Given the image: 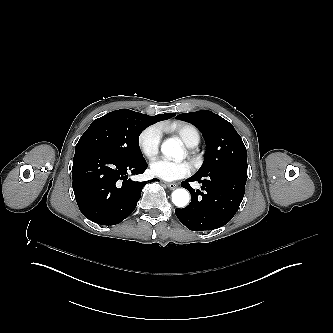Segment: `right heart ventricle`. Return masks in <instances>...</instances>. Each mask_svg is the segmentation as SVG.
Wrapping results in <instances>:
<instances>
[{"label": "right heart ventricle", "mask_w": 333, "mask_h": 333, "mask_svg": "<svg viewBox=\"0 0 333 333\" xmlns=\"http://www.w3.org/2000/svg\"><path fill=\"white\" fill-rule=\"evenodd\" d=\"M158 131L161 134L163 131L162 127H159ZM175 135L179 136L189 147H195L200 141L198 130L189 124L178 125Z\"/></svg>", "instance_id": "1"}]
</instances>
